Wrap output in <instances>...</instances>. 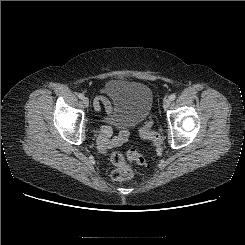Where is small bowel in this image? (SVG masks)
I'll return each mask as SVG.
<instances>
[{
    "instance_id": "small-bowel-1",
    "label": "small bowel",
    "mask_w": 245,
    "mask_h": 245,
    "mask_svg": "<svg viewBox=\"0 0 245 245\" xmlns=\"http://www.w3.org/2000/svg\"><path fill=\"white\" fill-rule=\"evenodd\" d=\"M102 93L105 95H111L109 86L102 90ZM104 105L105 108H109V102L104 97H98L94 100V108L96 111L101 109V106ZM112 130L108 126H102L100 128V134L97 139V145L99 150L102 153H107L113 148L121 146L130 134V125H126L120 131V133L111 138Z\"/></svg>"
}]
</instances>
